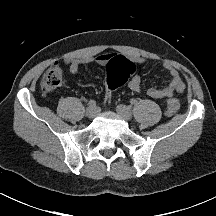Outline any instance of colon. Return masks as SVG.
Listing matches in <instances>:
<instances>
[{"mask_svg": "<svg viewBox=\"0 0 216 216\" xmlns=\"http://www.w3.org/2000/svg\"><path fill=\"white\" fill-rule=\"evenodd\" d=\"M135 70L136 64L126 59H118L108 65L105 95V101L107 103L111 102L115 91L128 81ZM62 78V69L58 65L52 66L42 76L40 83L41 89L45 92L55 90L61 85ZM179 108V100L174 96L168 97L166 100V114L172 116L179 111Z\"/></svg>", "mask_w": 216, "mask_h": 216, "instance_id": "colon-1", "label": "colon"}]
</instances>
